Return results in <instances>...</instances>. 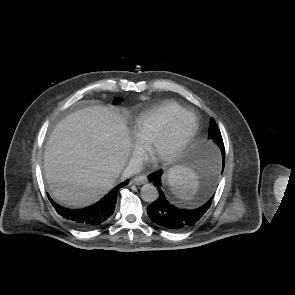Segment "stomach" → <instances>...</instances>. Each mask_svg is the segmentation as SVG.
I'll return each mask as SVG.
<instances>
[{
  "mask_svg": "<svg viewBox=\"0 0 295 295\" xmlns=\"http://www.w3.org/2000/svg\"><path fill=\"white\" fill-rule=\"evenodd\" d=\"M203 153V150L199 146H192L188 152V155L186 157V160L183 164L184 168L192 169L196 168L201 162V154Z\"/></svg>",
  "mask_w": 295,
  "mask_h": 295,
  "instance_id": "stomach-1",
  "label": "stomach"
}]
</instances>
